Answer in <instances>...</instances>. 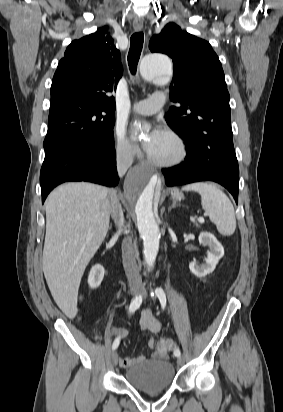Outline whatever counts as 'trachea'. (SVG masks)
Segmentation results:
<instances>
[{
    "label": "trachea",
    "mask_w": 283,
    "mask_h": 412,
    "mask_svg": "<svg viewBox=\"0 0 283 412\" xmlns=\"http://www.w3.org/2000/svg\"><path fill=\"white\" fill-rule=\"evenodd\" d=\"M144 36L143 33H134L131 36L130 49L128 53V65L130 72L135 75L137 71L138 61L143 47Z\"/></svg>",
    "instance_id": "3493384b"
}]
</instances>
